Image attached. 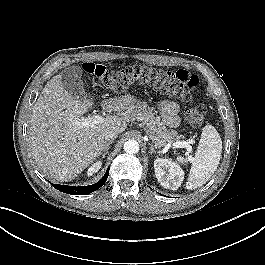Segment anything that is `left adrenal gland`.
I'll return each instance as SVG.
<instances>
[{
	"instance_id": "a2214340",
	"label": "left adrenal gland",
	"mask_w": 265,
	"mask_h": 265,
	"mask_svg": "<svg viewBox=\"0 0 265 265\" xmlns=\"http://www.w3.org/2000/svg\"><path fill=\"white\" fill-rule=\"evenodd\" d=\"M150 145V150H149V153L152 154V153H159V151H156L155 148H154V145L152 143H149Z\"/></svg>"
}]
</instances>
